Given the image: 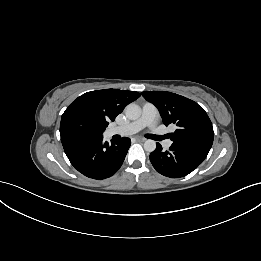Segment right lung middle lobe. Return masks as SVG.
Returning <instances> with one entry per match:
<instances>
[{"mask_svg":"<svg viewBox=\"0 0 261 261\" xmlns=\"http://www.w3.org/2000/svg\"><path fill=\"white\" fill-rule=\"evenodd\" d=\"M106 127L89 111L74 109L62 115L60 135L101 136Z\"/></svg>","mask_w":261,"mask_h":261,"instance_id":"1","label":"right lung middle lobe"}]
</instances>
